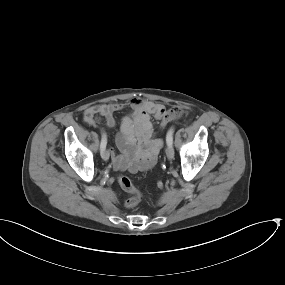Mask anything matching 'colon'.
<instances>
[{"instance_id": "obj_1", "label": "colon", "mask_w": 285, "mask_h": 285, "mask_svg": "<svg viewBox=\"0 0 285 285\" xmlns=\"http://www.w3.org/2000/svg\"><path fill=\"white\" fill-rule=\"evenodd\" d=\"M157 113L161 115V118L159 119L160 125L164 126L168 122L178 119L182 115V108L180 106H173L166 110L163 107H158ZM118 184L122 189L132 194L126 201V207L133 208L136 206L141 200V194L134 186L131 179L128 176L121 174L118 176Z\"/></svg>"}]
</instances>
